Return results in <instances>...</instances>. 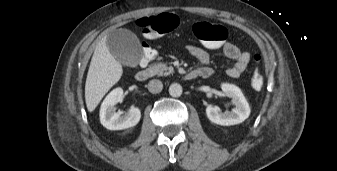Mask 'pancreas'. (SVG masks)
<instances>
[{
    "mask_svg": "<svg viewBox=\"0 0 337 171\" xmlns=\"http://www.w3.org/2000/svg\"><path fill=\"white\" fill-rule=\"evenodd\" d=\"M149 70L153 75L158 76L169 75L174 72L173 68L167 67L165 63L153 64Z\"/></svg>",
    "mask_w": 337,
    "mask_h": 171,
    "instance_id": "1",
    "label": "pancreas"
}]
</instances>
